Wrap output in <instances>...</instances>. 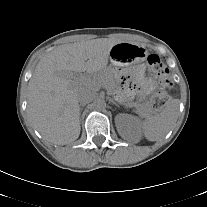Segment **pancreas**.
Segmentation results:
<instances>
[{
  "label": "pancreas",
  "instance_id": "pancreas-1",
  "mask_svg": "<svg viewBox=\"0 0 207 207\" xmlns=\"http://www.w3.org/2000/svg\"><path fill=\"white\" fill-rule=\"evenodd\" d=\"M95 82L98 84L99 87L103 86L109 92L113 94L117 93L116 85L112 76L104 73L99 74L96 77ZM93 90H96V88L93 87ZM128 105L136 107V112L142 117H149L152 114V107L148 102H144V103L129 102Z\"/></svg>",
  "mask_w": 207,
  "mask_h": 207
}]
</instances>
